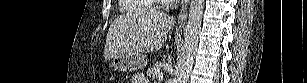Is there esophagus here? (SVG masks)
Segmentation results:
<instances>
[{"instance_id":"1","label":"esophagus","mask_w":307,"mask_h":83,"mask_svg":"<svg viewBox=\"0 0 307 83\" xmlns=\"http://www.w3.org/2000/svg\"><path fill=\"white\" fill-rule=\"evenodd\" d=\"M189 0H186L185 3L182 6V9L178 15V19H177V26L179 28H184L185 24H186V20H187V16H188V7H189Z\"/></svg>"}]
</instances>
